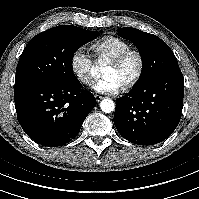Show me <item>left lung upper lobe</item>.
I'll list each match as a JSON object with an SVG mask.
<instances>
[{"mask_svg":"<svg viewBox=\"0 0 199 199\" xmlns=\"http://www.w3.org/2000/svg\"><path fill=\"white\" fill-rule=\"evenodd\" d=\"M117 32L134 43L140 52L143 70L136 87L146 84L165 71L179 67L173 51L159 37L131 27L119 28Z\"/></svg>","mask_w":199,"mask_h":199,"instance_id":"left-lung-upper-lobe-1","label":"left lung upper lobe"}]
</instances>
